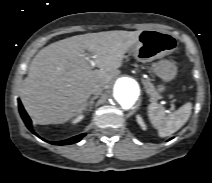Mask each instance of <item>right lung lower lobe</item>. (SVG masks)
<instances>
[{"mask_svg":"<svg viewBox=\"0 0 212 183\" xmlns=\"http://www.w3.org/2000/svg\"><path fill=\"white\" fill-rule=\"evenodd\" d=\"M18 105H19V111H20L21 117L24 120L26 126L28 127V129L31 132H33L35 134V132L32 129L31 120H30L29 116L27 115V113L25 112V110H24V108H23V106H22L20 101H18ZM85 135L86 134H80V135L74 136L72 138H69L67 140L53 142V144H56V145L73 144V143L79 142L82 139V137H84Z\"/></svg>","mask_w":212,"mask_h":183,"instance_id":"98d812e1","label":"right lung lower lobe"}]
</instances>
